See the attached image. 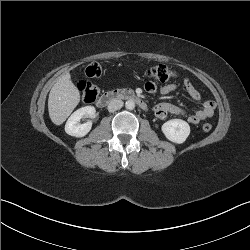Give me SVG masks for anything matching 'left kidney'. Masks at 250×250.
<instances>
[{"mask_svg":"<svg viewBox=\"0 0 250 250\" xmlns=\"http://www.w3.org/2000/svg\"><path fill=\"white\" fill-rule=\"evenodd\" d=\"M162 132L169 141L182 144L190 134V126L184 120L172 119L162 125Z\"/></svg>","mask_w":250,"mask_h":250,"instance_id":"1","label":"left kidney"}]
</instances>
